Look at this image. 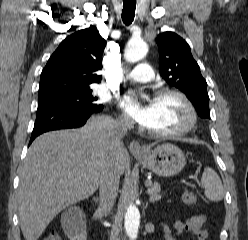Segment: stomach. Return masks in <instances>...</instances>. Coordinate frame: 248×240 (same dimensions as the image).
Listing matches in <instances>:
<instances>
[{
    "mask_svg": "<svg viewBox=\"0 0 248 240\" xmlns=\"http://www.w3.org/2000/svg\"><path fill=\"white\" fill-rule=\"evenodd\" d=\"M147 169L162 177L178 174L186 164V158L177 146L164 143L153 150H147L144 155H135Z\"/></svg>",
    "mask_w": 248,
    "mask_h": 240,
    "instance_id": "obj_1",
    "label": "stomach"
}]
</instances>
